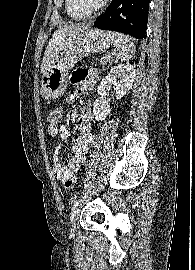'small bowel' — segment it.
<instances>
[{
  "mask_svg": "<svg viewBox=\"0 0 195 270\" xmlns=\"http://www.w3.org/2000/svg\"><path fill=\"white\" fill-rule=\"evenodd\" d=\"M97 73L90 69H77L71 75V82L79 85L77 94H68L65 98V102L68 105H72L78 96L86 95L93 88L97 81ZM69 118L76 121V127L78 129V136L72 144L73 156L68 162L65 161L60 145L55 147L53 154V173L55 177L64 181L78 170L80 165L84 162L89 145L94 140V134L92 132V120L93 113L89 105H84L80 112L72 110L69 112ZM48 132L50 135L57 138L58 142L64 141L69 136V131L66 126L57 124L48 125Z\"/></svg>",
  "mask_w": 195,
  "mask_h": 270,
  "instance_id": "obj_1",
  "label": "small bowel"
}]
</instances>
